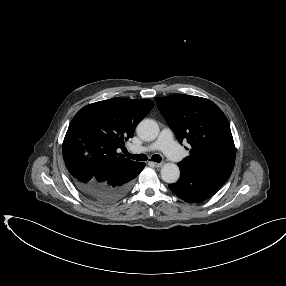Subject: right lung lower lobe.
<instances>
[{
  "instance_id": "right-lung-lower-lobe-1",
  "label": "right lung lower lobe",
  "mask_w": 286,
  "mask_h": 286,
  "mask_svg": "<svg viewBox=\"0 0 286 286\" xmlns=\"http://www.w3.org/2000/svg\"><path fill=\"white\" fill-rule=\"evenodd\" d=\"M63 158L77 189L89 200L100 205H109L120 200L129 191L131 180L145 167V163L137 162L122 172L104 177L78 151H64Z\"/></svg>"
}]
</instances>
